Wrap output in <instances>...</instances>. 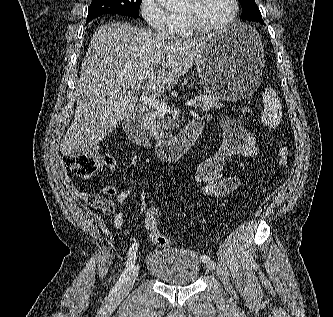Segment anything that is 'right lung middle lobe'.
<instances>
[{
	"label": "right lung middle lobe",
	"instance_id": "obj_1",
	"mask_svg": "<svg viewBox=\"0 0 333 317\" xmlns=\"http://www.w3.org/2000/svg\"><path fill=\"white\" fill-rule=\"evenodd\" d=\"M142 0H93L87 16V23L103 14H121L139 17Z\"/></svg>",
	"mask_w": 333,
	"mask_h": 317
}]
</instances>
